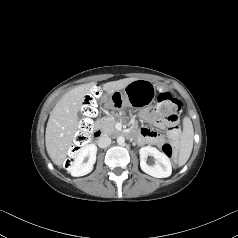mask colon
<instances>
[{
  "label": "colon",
  "instance_id": "1",
  "mask_svg": "<svg viewBox=\"0 0 238 238\" xmlns=\"http://www.w3.org/2000/svg\"><path fill=\"white\" fill-rule=\"evenodd\" d=\"M99 95L98 90H94L91 95L87 96L83 107L82 113L84 115L83 120L80 124V129L77 132L74 144L71 147V154H76L85 144L88 143L90 135L93 129L92 117L95 116L97 112V102L96 98ZM182 108V102L177 97L173 96L169 92H162L157 96L156 105L154 107V112L164 117L170 123H176L178 120V114ZM163 153L172 158L174 154V148L170 143H165L161 147Z\"/></svg>",
  "mask_w": 238,
  "mask_h": 238
}]
</instances>
